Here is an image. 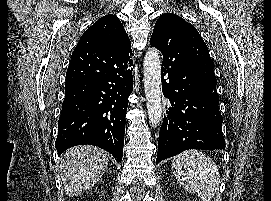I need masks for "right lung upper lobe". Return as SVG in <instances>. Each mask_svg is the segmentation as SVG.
I'll list each match as a JSON object with an SVG mask.
<instances>
[{"mask_svg": "<svg viewBox=\"0 0 271 201\" xmlns=\"http://www.w3.org/2000/svg\"><path fill=\"white\" fill-rule=\"evenodd\" d=\"M97 46L121 53L129 59L131 44L128 35L115 15H106L89 27L81 36L77 46Z\"/></svg>", "mask_w": 271, "mask_h": 201, "instance_id": "obj_1", "label": "right lung upper lobe"}]
</instances>
